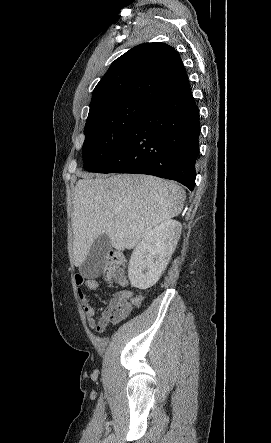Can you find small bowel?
<instances>
[{
    "label": "small bowel",
    "instance_id": "1",
    "mask_svg": "<svg viewBox=\"0 0 271 443\" xmlns=\"http://www.w3.org/2000/svg\"><path fill=\"white\" fill-rule=\"evenodd\" d=\"M75 282L78 287V297L86 315L88 326L98 333H103L109 324H118L126 319L133 309L141 306V297L133 296L128 289L120 290L108 299L107 307L100 317H96V310L91 305L83 287L89 290H98L101 281L96 278H87L76 275Z\"/></svg>",
    "mask_w": 271,
    "mask_h": 443
}]
</instances>
